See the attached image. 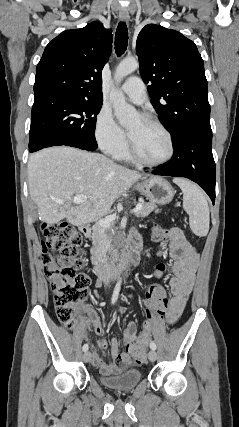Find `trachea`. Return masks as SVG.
<instances>
[{"instance_id":"1","label":"trachea","mask_w":239,"mask_h":427,"mask_svg":"<svg viewBox=\"0 0 239 427\" xmlns=\"http://www.w3.org/2000/svg\"><path fill=\"white\" fill-rule=\"evenodd\" d=\"M128 29L125 22L118 24L115 34V51L118 56H121L127 48Z\"/></svg>"}]
</instances>
